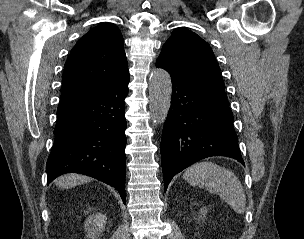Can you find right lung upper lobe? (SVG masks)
<instances>
[{
	"instance_id": "1",
	"label": "right lung upper lobe",
	"mask_w": 304,
	"mask_h": 239,
	"mask_svg": "<svg viewBox=\"0 0 304 239\" xmlns=\"http://www.w3.org/2000/svg\"><path fill=\"white\" fill-rule=\"evenodd\" d=\"M129 75L121 31L107 23L92 28L65 63L59 108L83 101Z\"/></svg>"
}]
</instances>
